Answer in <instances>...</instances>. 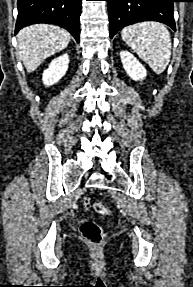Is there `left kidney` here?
Instances as JSON below:
<instances>
[{"mask_svg": "<svg viewBox=\"0 0 193 287\" xmlns=\"http://www.w3.org/2000/svg\"><path fill=\"white\" fill-rule=\"evenodd\" d=\"M120 58L123 68L133 80H143L146 77V69L133 54L128 51H121Z\"/></svg>", "mask_w": 193, "mask_h": 287, "instance_id": "1", "label": "left kidney"}]
</instances>
